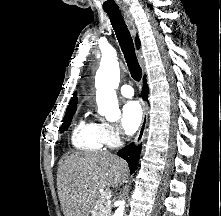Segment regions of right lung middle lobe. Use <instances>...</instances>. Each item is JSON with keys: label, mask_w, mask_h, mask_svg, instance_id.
<instances>
[{"label": "right lung middle lobe", "mask_w": 221, "mask_h": 216, "mask_svg": "<svg viewBox=\"0 0 221 216\" xmlns=\"http://www.w3.org/2000/svg\"><path fill=\"white\" fill-rule=\"evenodd\" d=\"M75 112H72V113H69V114H65V117L63 119V124L60 128V131L61 132H64L68 126L70 125V122H71V119H72V115L74 114Z\"/></svg>", "instance_id": "obj_1"}]
</instances>
